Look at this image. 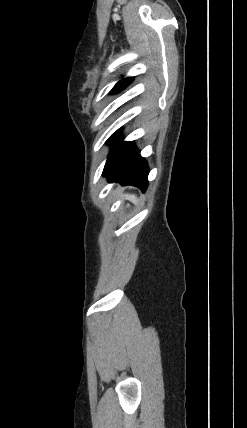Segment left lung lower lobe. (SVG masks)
Instances as JSON below:
<instances>
[{
    "label": "left lung lower lobe",
    "instance_id": "obj_1",
    "mask_svg": "<svg viewBox=\"0 0 247 428\" xmlns=\"http://www.w3.org/2000/svg\"><path fill=\"white\" fill-rule=\"evenodd\" d=\"M109 142L113 147L104 167L103 175L108 181H118L122 185L139 187L143 192L147 188L149 169L133 142H122L116 131Z\"/></svg>",
    "mask_w": 247,
    "mask_h": 428
}]
</instances>
